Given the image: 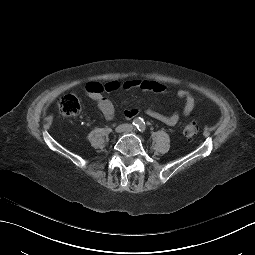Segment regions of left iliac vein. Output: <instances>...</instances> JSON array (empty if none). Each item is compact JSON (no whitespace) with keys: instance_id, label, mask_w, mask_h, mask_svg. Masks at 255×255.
<instances>
[{"instance_id":"left-iliac-vein-1","label":"left iliac vein","mask_w":255,"mask_h":255,"mask_svg":"<svg viewBox=\"0 0 255 255\" xmlns=\"http://www.w3.org/2000/svg\"><path fill=\"white\" fill-rule=\"evenodd\" d=\"M127 132H133V128H128Z\"/></svg>"}]
</instances>
